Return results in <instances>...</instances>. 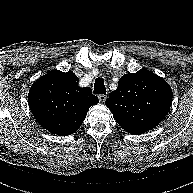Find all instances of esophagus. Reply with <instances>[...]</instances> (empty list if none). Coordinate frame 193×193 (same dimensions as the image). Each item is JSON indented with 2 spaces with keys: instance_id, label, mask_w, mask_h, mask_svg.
Returning a JSON list of instances; mask_svg holds the SVG:
<instances>
[{
  "instance_id": "esophagus-1",
  "label": "esophagus",
  "mask_w": 193,
  "mask_h": 193,
  "mask_svg": "<svg viewBox=\"0 0 193 193\" xmlns=\"http://www.w3.org/2000/svg\"><path fill=\"white\" fill-rule=\"evenodd\" d=\"M98 99L100 102L104 103L107 99V96L104 94H100V95H98Z\"/></svg>"
}]
</instances>
